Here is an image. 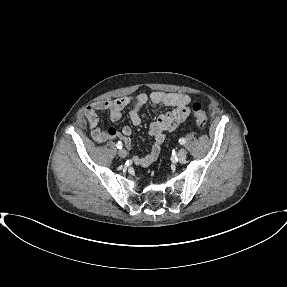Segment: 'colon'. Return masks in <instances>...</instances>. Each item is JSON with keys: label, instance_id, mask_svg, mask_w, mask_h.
<instances>
[{"label": "colon", "instance_id": "5ec220e1", "mask_svg": "<svg viewBox=\"0 0 287 287\" xmlns=\"http://www.w3.org/2000/svg\"><path fill=\"white\" fill-rule=\"evenodd\" d=\"M193 117L200 128H205L207 124V113L205 108L198 102L192 105Z\"/></svg>", "mask_w": 287, "mask_h": 287}]
</instances>
